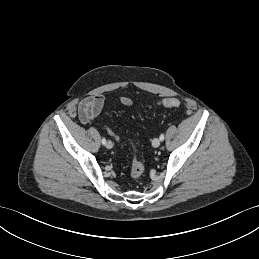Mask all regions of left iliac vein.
I'll list each match as a JSON object with an SVG mask.
<instances>
[{
	"label": "left iliac vein",
	"instance_id": "4c4485c4",
	"mask_svg": "<svg viewBox=\"0 0 259 259\" xmlns=\"http://www.w3.org/2000/svg\"><path fill=\"white\" fill-rule=\"evenodd\" d=\"M160 143H161L160 138H155V139H153V141H152V146H153L154 148H157V147L160 146Z\"/></svg>",
	"mask_w": 259,
	"mask_h": 259
}]
</instances>
